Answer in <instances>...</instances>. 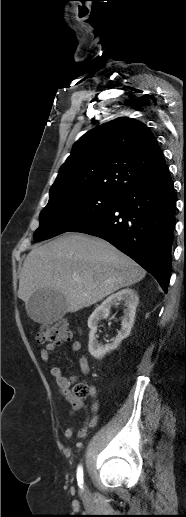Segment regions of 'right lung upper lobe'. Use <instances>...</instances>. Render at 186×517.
I'll list each match as a JSON object with an SVG mask.
<instances>
[{"instance_id": "cb5924a9", "label": "right lung upper lobe", "mask_w": 186, "mask_h": 517, "mask_svg": "<svg viewBox=\"0 0 186 517\" xmlns=\"http://www.w3.org/2000/svg\"><path fill=\"white\" fill-rule=\"evenodd\" d=\"M167 171L149 128L121 117L88 131L73 145L50 189V199L77 193L121 195Z\"/></svg>"}]
</instances>
